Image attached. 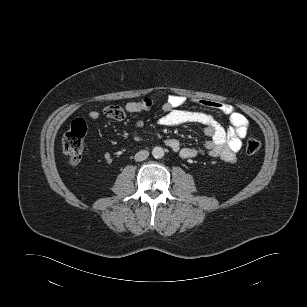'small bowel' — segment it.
Segmentation results:
<instances>
[{
  "label": "small bowel",
  "instance_id": "small-bowel-1",
  "mask_svg": "<svg viewBox=\"0 0 307 307\" xmlns=\"http://www.w3.org/2000/svg\"><path fill=\"white\" fill-rule=\"evenodd\" d=\"M185 103V98L179 95H171L163 105L164 115L159 119L163 126L179 127L186 124H200L208 139L202 148L181 147L175 138H167L165 144L173 151L178 152L183 159H191L199 154L206 153L211 157L220 158L227 163L236 161L237 152L242 147V141L248 132L247 118L237 112L235 108L224 102L213 100H200L198 103L209 109L217 110L229 117L231 126L225 129L210 113L200 110H183L180 107ZM152 107V100L145 98L140 101L127 102L123 106L109 105L103 109V114L111 119L123 120L128 113L147 112ZM101 116L98 110H91L88 117L97 120ZM144 124L143 119L136 122L140 128Z\"/></svg>",
  "mask_w": 307,
  "mask_h": 307
}]
</instances>
